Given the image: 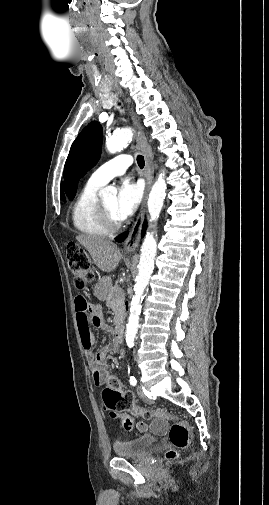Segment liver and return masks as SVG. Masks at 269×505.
Segmentation results:
<instances>
[{
  "label": "liver",
  "instance_id": "liver-1",
  "mask_svg": "<svg viewBox=\"0 0 269 505\" xmlns=\"http://www.w3.org/2000/svg\"><path fill=\"white\" fill-rule=\"evenodd\" d=\"M76 240L87 249L94 264L101 271L109 273L116 269L122 256L116 244L104 238L88 235H78Z\"/></svg>",
  "mask_w": 269,
  "mask_h": 505
}]
</instances>
